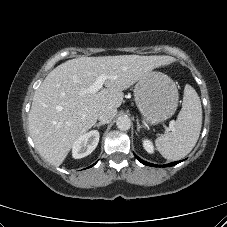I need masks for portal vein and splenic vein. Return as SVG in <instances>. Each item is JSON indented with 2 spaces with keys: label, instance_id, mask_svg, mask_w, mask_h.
Wrapping results in <instances>:
<instances>
[{
  "label": "portal vein and splenic vein",
  "instance_id": "portal-vein-and-splenic-vein-1",
  "mask_svg": "<svg viewBox=\"0 0 227 227\" xmlns=\"http://www.w3.org/2000/svg\"><path fill=\"white\" fill-rule=\"evenodd\" d=\"M108 78H109L108 76L100 75L89 88H87V89H85V91H83V93H86V92L96 93V92H98L102 88L105 80H107ZM173 126H174V124H172L170 126L171 130H173V128H174Z\"/></svg>",
  "mask_w": 227,
  "mask_h": 227
}]
</instances>
